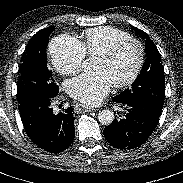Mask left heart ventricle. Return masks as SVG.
<instances>
[{
  "mask_svg": "<svg viewBox=\"0 0 183 183\" xmlns=\"http://www.w3.org/2000/svg\"><path fill=\"white\" fill-rule=\"evenodd\" d=\"M139 50L135 44H127L122 47L112 58H96L94 70L104 72L113 83L128 78L138 62Z\"/></svg>",
  "mask_w": 183,
  "mask_h": 183,
  "instance_id": "obj_1",
  "label": "left heart ventricle"
}]
</instances>
